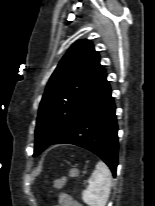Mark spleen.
I'll return each instance as SVG.
<instances>
[{"label": "spleen", "instance_id": "obj_1", "mask_svg": "<svg viewBox=\"0 0 155 206\" xmlns=\"http://www.w3.org/2000/svg\"><path fill=\"white\" fill-rule=\"evenodd\" d=\"M83 191L82 199L89 206H106L112 185V175L107 165L99 161Z\"/></svg>", "mask_w": 155, "mask_h": 206}]
</instances>
